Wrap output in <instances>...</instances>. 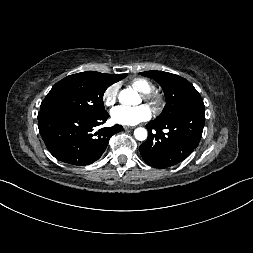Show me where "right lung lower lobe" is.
I'll return each mask as SVG.
<instances>
[{
  "mask_svg": "<svg viewBox=\"0 0 253 253\" xmlns=\"http://www.w3.org/2000/svg\"><path fill=\"white\" fill-rule=\"evenodd\" d=\"M109 114L97 116L65 112L40 111L38 128L49 152L58 160L84 166L97 161L104 153L109 139L123 130L121 125L94 128L105 123Z\"/></svg>",
  "mask_w": 253,
  "mask_h": 253,
  "instance_id": "1",
  "label": "right lung lower lobe"
}]
</instances>
